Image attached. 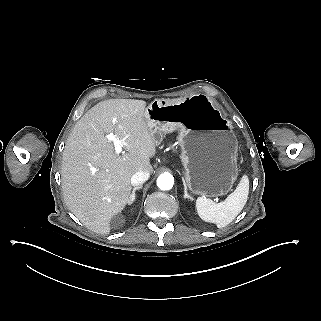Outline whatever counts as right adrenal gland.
Segmentation results:
<instances>
[{
	"label": "right adrenal gland",
	"instance_id": "2a0ac1e0",
	"mask_svg": "<svg viewBox=\"0 0 321 321\" xmlns=\"http://www.w3.org/2000/svg\"><path fill=\"white\" fill-rule=\"evenodd\" d=\"M140 189H142V186H138L133 189L132 194L129 199V202H128V205H131L133 203V201L135 200V192Z\"/></svg>",
	"mask_w": 321,
	"mask_h": 321
}]
</instances>
